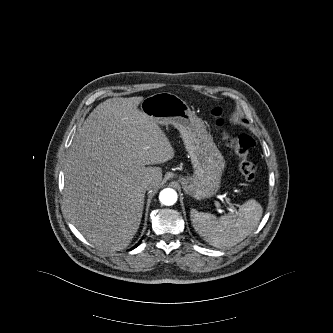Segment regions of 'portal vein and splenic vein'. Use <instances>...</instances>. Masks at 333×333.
<instances>
[{"mask_svg":"<svg viewBox=\"0 0 333 333\" xmlns=\"http://www.w3.org/2000/svg\"><path fill=\"white\" fill-rule=\"evenodd\" d=\"M225 202H226L227 205H229V207H230L231 209H234V207H233L232 204L228 201V199H225ZM215 205H216L217 208H219V206H220L219 203H216Z\"/></svg>","mask_w":333,"mask_h":333,"instance_id":"18ae733b","label":"portal vein and splenic vein"}]
</instances>
